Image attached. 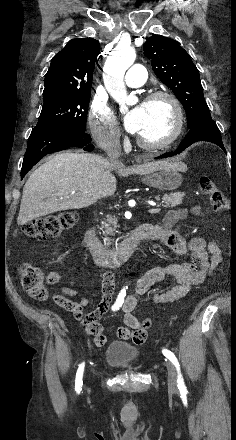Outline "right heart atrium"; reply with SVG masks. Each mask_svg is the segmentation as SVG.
<instances>
[{
  "mask_svg": "<svg viewBox=\"0 0 236 440\" xmlns=\"http://www.w3.org/2000/svg\"><path fill=\"white\" fill-rule=\"evenodd\" d=\"M89 127L95 142L103 149L115 152L119 149L120 128L110 106L99 99L92 102Z\"/></svg>",
  "mask_w": 236,
  "mask_h": 440,
  "instance_id": "d8ad5b80",
  "label": "right heart atrium"
}]
</instances>
